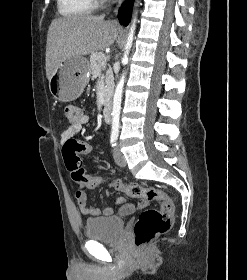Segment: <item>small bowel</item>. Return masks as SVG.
Instances as JSON below:
<instances>
[{
  "label": "small bowel",
  "mask_w": 247,
  "mask_h": 280,
  "mask_svg": "<svg viewBox=\"0 0 247 280\" xmlns=\"http://www.w3.org/2000/svg\"><path fill=\"white\" fill-rule=\"evenodd\" d=\"M88 122L89 117L85 114H80V117L76 122L70 123L61 135V143L63 144V146L67 141L74 139V137L80 132L82 127L87 125ZM87 176L95 175L88 174ZM75 196L82 214L86 216H99L101 214L105 216H111L113 214L112 208H105L104 210H100L97 207L88 205L86 190L82 186L78 185ZM116 203L121 205L119 210V213L121 215H128L132 213L136 208H143L146 205V202L144 201H141L137 206L133 204H127L124 203V200L121 197L116 200Z\"/></svg>",
  "instance_id": "small-bowel-1"
}]
</instances>
